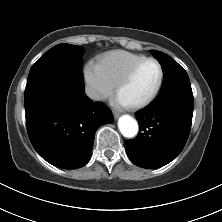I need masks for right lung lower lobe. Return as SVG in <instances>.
<instances>
[{"label": "right lung lower lobe", "mask_w": 222, "mask_h": 222, "mask_svg": "<svg viewBox=\"0 0 222 222\" xmlns=\"http://www.w3.org/2000/svg\"><path fill=\"white\" fill-rule=\"evenodd\" d=\"M30 141L50 164L64 169L86 165L98 127L113 122L111 111L85 93L73 103L38 101L25 106Z\"/></svg>", "instance_id": "1"}]
</instances>
